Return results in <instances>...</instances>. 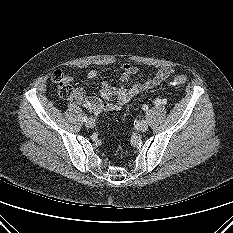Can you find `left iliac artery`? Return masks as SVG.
I'll list each match as a JSON object with an SVG mask.
<instances>
[{
    "instance_id": "obj_1",
    "label": "left iliac artery",
    "mask_w": 233,
    "mask_h": 233,
    "mask_svg": "<svg viewBox=\"0 0 233 233\" xmlns=\"http://www.w3.org/2000/svg\"><path fill=\"white\" fill-rule=\"evenodd\" d=\"M158 104L161 103L160 100H157L156 101ZM162 103H166L165 99H163ZM143 110L147 111L148 110V106L147 105H144L143 106Z\"/></svg>"
}]
</instances>
